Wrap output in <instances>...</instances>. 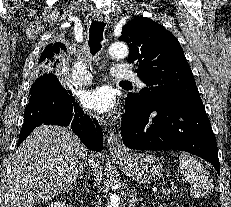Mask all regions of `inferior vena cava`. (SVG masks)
Listing matches in <instances>:
<instances>
[{
    "label": "inferior vena cava",
    "mask_w": 231,
    "mask_h": 207,
    "mask_svg": "<svg viewBox=\"0 0 231 207\" xmlns=\"http://www.w3.org/2000/svg\"><path fill=\"white\" fill-rule=\"evenodd\" d=\"M86 186L90 187V185H88V183H87V180H86ZM86 190H87V192H89V189H86Z\"/></svg>",
    "instance_id": "602c4592"
}]
</instances>
